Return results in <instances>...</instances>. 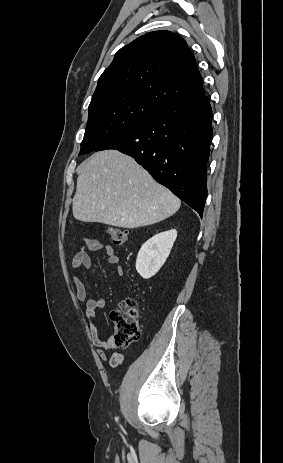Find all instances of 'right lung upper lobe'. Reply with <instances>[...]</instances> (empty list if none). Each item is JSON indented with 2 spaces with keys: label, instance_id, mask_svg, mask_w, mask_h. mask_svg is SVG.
<instances>
[{
  "label": "right lung upper lobe",
  "instance_id": "right-lung-upper-lobe-1",
  "mask_svg": "<svg viewBox=\"0 0 283 463\" xmlns=\"http://www.w3.org/2000/svg\"><path fill=\"white\" fill-rule=\"evenodd\" d=\"M114 91L160 108L204 94L195 57L186 42L169 31L147 33L117 51L92 98Z\"/></svg>",
  "mask_w": 283,
  "mask_h": 463
}]
</instances>
